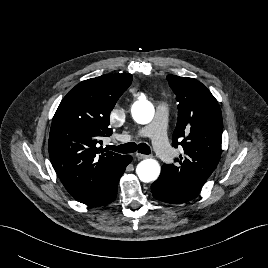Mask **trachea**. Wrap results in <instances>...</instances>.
<instances>
[{
	"mask_svg": "<svg viewBox=\"0 0 268 268\" xmlns=\"http://www.w3.org/2000/svg\"><path fill=\"white\" fill-rule=\"evenodd\" d=\"M106 149L113 150L118 153H124V154L133 153L137 150L139 153L146 154V155L151 153L150 147L146 143H140L137 145L134 142H130L126 144H121L119 146L108 145Z\"/></svg>",
	"mask_w": 268,
	"mask_h": 268,
	"instance_id": "3493384b",
	"label": "trachea"
}]
</instances>
